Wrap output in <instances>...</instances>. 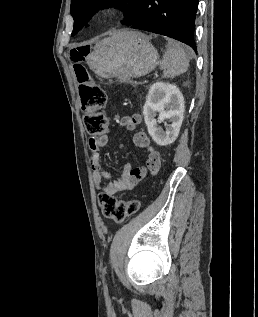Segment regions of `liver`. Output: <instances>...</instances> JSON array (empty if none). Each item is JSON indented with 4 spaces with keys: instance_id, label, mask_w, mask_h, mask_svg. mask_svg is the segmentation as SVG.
<instances>
[{
    "instance_id": "1",
    "label": "liver",
    "mask_w": 258,
    "mask_h": 317,
    "mask_svg": "<svg viewBox=\"0 0 258 317\" xmlns=\"http://www.w3.org/2000/svg\"><path fill=\"white\" fill-rule=\"evenodd\" d=\"M117 34H119L118 30H116V32H113L112 36H117ZM108 38H111V36H108Z\"/></svg>"
}]
</instances>
